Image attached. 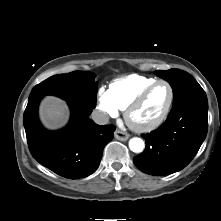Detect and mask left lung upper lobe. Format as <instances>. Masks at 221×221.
Wrapping results in <instances>:
<instances>
[{
    "label": "left lung upper lobe",
    "instance_id": "obj_1",
    "mask_svg": "<svg viewBox=\"0 0 221 221\" xmlns=\"http://www.w3.org/2000/svg\"><path fill=\"white\" fill-rule=\"evenodd\" d=\"M155 74L171 85L173 90V102L188 93L202 89L190 74L180 69L158 70L155 71Z\"/></svg>",
    "mask_w": 221,
    "mask_h": 221
}]
</instances>
